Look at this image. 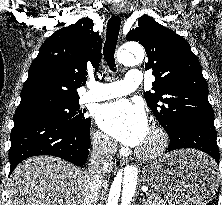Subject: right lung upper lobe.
Here are the masks:
<instances>
[{
  "label": "right lung upper lobe",
  "instance_id": "cb5924a9",
  "mask_svg": "<svg viewBox=\"0 0 222 205\" xmlns=\"http://www.w3.org/2000/svg\"><path fill=\"white\" fill-rule=\"evenodd\" d=\"M88 17L59 29L40 47L23 85L15 113L46 102L79 101L77 88L85 85L87 69L99 67L101 37Z\"/></svg>",
  "mask_w": 222,
  "mask_h": 205
}]
</instances>
